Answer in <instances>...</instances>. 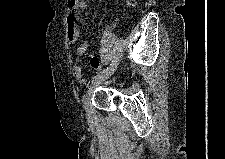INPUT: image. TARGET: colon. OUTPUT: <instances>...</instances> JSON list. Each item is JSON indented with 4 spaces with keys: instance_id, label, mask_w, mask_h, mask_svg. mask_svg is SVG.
Segmentation results:
<instances>
[{
    "instance_id": "5ec220e1",
    "label": "colon",
    "mask_w": 225,
    "mask_h": 159,
    "mask_svg": "<svg viewBox=\"0 0 225 159\" xmlns=\"http://www.w3.org/2000/svg\"><path fill=\"white\" fill-rule=\"evenodd\" d=\"M76 0H72V2L74 3ZM130 5L134 4V0H128Z\"/></svg>"
}]
</instances>
